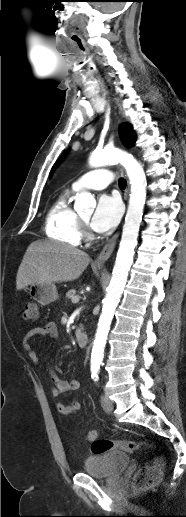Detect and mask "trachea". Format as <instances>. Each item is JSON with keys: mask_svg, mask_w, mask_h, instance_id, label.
<instances>
[{"mask_svg": "<svg viewBox=\"0 0 186 517\" xmlns=\"http://www.w3.org/2000/svg\"><path fill=\"white\" fill-rule=\"evenodd\" d=\"M118 184H119L120 188H125L126 187V180L125 179H119Z\"/></svg>", "mask_w": 186, "mask_h": 517, "instance_id": "1", "label": "trachea"}]
</instances>
